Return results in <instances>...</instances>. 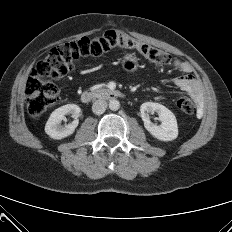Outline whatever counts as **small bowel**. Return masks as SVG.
<instances>
[{
	"label": "small bowel",
	"instance_id": "1",
	"mask_svg": "<svg viewBox=\"0 0 232 232\" xmlns=\"http://www.w3.org/2000/svg\"><path fill=\"white\" fill-rule=\"evenodd\" d=\"M174 66L182 72L181 75L176 76L173 79L175 85H177L182 91L191 95L199 105L198 114L202 110V92L199 79L194 73V68L186 60L177 59L174 61Z\"/></svg>",
	"mask_w": 232,
	"mask_h": 232
}]
</instances>
